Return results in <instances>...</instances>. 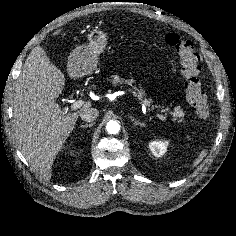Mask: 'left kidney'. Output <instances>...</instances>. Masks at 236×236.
Segmentation results:
<instances>
[{
  "label": "left kidney",
  "mask_w": 236,
  "mask_h": 236,
  "mask_svg": "<svg viewBox=\"0 0 236 236\" xmlns=\"http://www.w3.org/2000/svg\"><path fill=\"white\" fill-rule=\"evenodd\" d=\"M167 144V141L155 140L149 143V148L155 157H161L166 153Z\"/></svg>",
  "instance_id": "5707ae66"
}]
</instances>
